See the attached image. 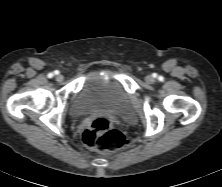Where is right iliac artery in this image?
I'll return each mask as SVG.
<instances>
[{
  "instance_id": "1",
  "label": "right iliac artery",
  "mask_w": 222,
  "mask_h": 187,
  "mask_svg": "<svg viewBox=\"0 0 222 187\" xmlns=\"http://www.w3.org/2000/svg\"><path fill=\"white\" fill-rule=\"evenodd\" d=\"M59 72L58 71H55V74H58ZM53 77V73H49L48 74V78H52Z\"/></svg>"
}]
</instances>
